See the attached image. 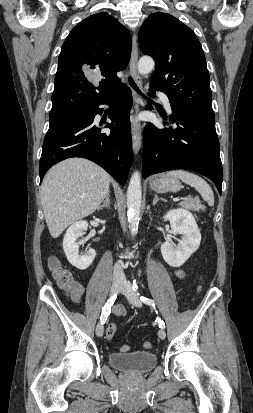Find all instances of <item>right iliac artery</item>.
<instances>
[{
	"mask_svg": "<svg viewBox=\"0 0 253 413\" xmlns=\"http://www.w3.org/2000/svg\"><path fill=\"white\" fill-rule=\"evenodd\" d=\"M115 299H116V295H113L111 298L108 299V301L102 308V313L100 316V322L102 323V325L106 322L107 317L111 312V306L114 304Z\"/></svg>",
	"mask_w": 253,
	"mask_h": 413,
	"instance_id": "right-iliac-artery-1",
	"label": "right iliac artery"
}]
</instances>
